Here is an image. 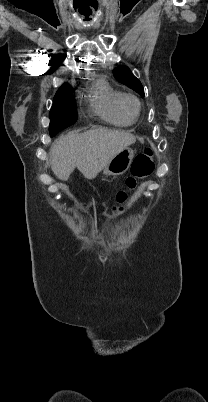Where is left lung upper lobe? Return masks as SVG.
I'll return each instance as SVG.
<instances>
[{"label": "left lung upper lobe", "mask_w": 208, "mask_h": 402, "mask_svg": "<svg viewBox=\"0 0 208 402\" xmlns=\"http://www.w3.org/2000/svg\"><path fill=\"white\" fill-rule=\"evenodd\" d=\"M114 77L124 85L136 91L142 97L145 96L141 82L132 74L127 67H118L113 70Z\"/></svg>", "instance_id": "obj_1"}]
</instances>
